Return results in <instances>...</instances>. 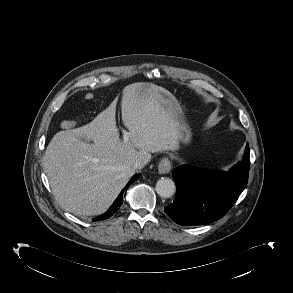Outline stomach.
<instances>
[{
    "label": "stomach",
    "mask_w": 293,
    "mask_h": 293,
    "mask_svg": "<svg viewBox=\"0 0 293 293\" xmlns=\"http://www.w3.org/2000/svg\"><path fill=\"white\" fill-rule=\"evenodd\" d=\"M148 92H149V88L145 87L139 91V94L143 95ZM160 94H161L164 105L174 114L178 122L180 141L183 143H188L191 140L192 133L188 124L185 121L184 113L181 109L180 104L170 92L167 91L166 93H160Z\"/></svg>",
    "instance_id": "1"
}]
</instances>
